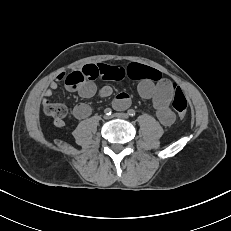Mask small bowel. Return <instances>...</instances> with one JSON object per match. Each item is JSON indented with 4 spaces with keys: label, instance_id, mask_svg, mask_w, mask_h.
Segmentation results:
<instances>
[{
    "label": "small bowel",
    "instance_id": "c3829d8e",
    "mask_svg": "<svg viewBox=\"0 0 231 231\" xmlns=\"http://www.w3.org/2000/svg\"><path fill=\"white\" fill-rule=\"evenodd\" d=\"M146 67L138 63H132L127 67L121 65H107V64H87L80 69V73L84 77L83 84L78 88V94L82 98H90L95 95L97 88L94 84L96 79L105 80H120L126 76L138 80V92L144 99H150L153 102V107L156 116L160 123L164 126H170L175 121V115L170 109L169 105L174 95V85L167 79H160L154 81L146 73ZM66 77L65 73L58 74L50 83L48 88L44 91L43 103H48L54 90L58 88L59 82ZM113 90L110 86H103L99 90L101 97H108ZM130 105V96L127 93H119L114 101L115 109L122 110ZM73 116L78 120H83L91 114V108L85 103L77 104L72 110ZM55 125L63 128L65 123L62 120H55Z\"/></svg>",
    "mask_w": 231,
    "mask_h": 231
}]
</instances>
